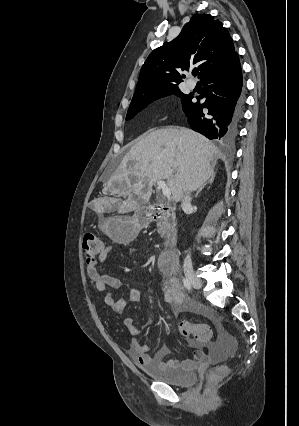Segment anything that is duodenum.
Returning a JSON list of instances; mask_svg holds the SVG:
<instances>
[{"label":"duodenum","instance_id":"obj_1","mask_svg":"<svg viewBox=\"0 0 299 426\" xmlns=\"http://www.w3.org/2000/svg\"><path fill=\"white\" fill-rule=\"evenodd\" d=\"M161 208V205L149 207L144 213L142 220H152L161 210ZM174 245V242L171 243L170 247L165 249L158 258L159 269L165 274H174L178 266V256L176 250L174 249Z\"/></svg>","mask_w":299,"mask_h":426}]
</instances>
